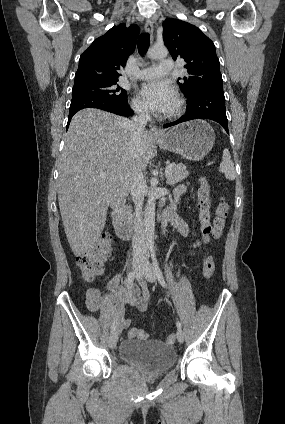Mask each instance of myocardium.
I'll return each mask as SVG.
<instances>
[{
    "label": "myocardium",
    "instance_id": "1",
    "mask_svg": "<svg viewBox=\"0 0 285 424\" xmlns=\"http://www.w3.org/2000/svg\"><path fill=\"white\" fill-rule=\"evenodd\" d=\"M184 109V101L180 97H176L175 99V107L172 111L165 115V118L172 119L180 116Z\"/></svg>",
    "mask_w": 285,
    "mask_h": 424
}]
</instances>
